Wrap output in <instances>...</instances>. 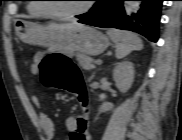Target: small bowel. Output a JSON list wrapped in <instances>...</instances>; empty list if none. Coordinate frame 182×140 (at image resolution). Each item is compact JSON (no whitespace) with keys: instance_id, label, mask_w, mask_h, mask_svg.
Segmentation results:
<instances>
[{"instance_id":"c3829d8e","label":"small bowel","mask_w":182,"mask_h":140,"mask_svg":"<svg viewBox=\"0 0 182 140\" xmlns=\"http://www.w3.org/2000/svg\"><path fill=\"white\" fill-rule=\"evenodd\" d=\"M44 57L42 53H36L33 57V62L30 65V72L32 74H36L39 71V65L43 61ZM32 102L36 107H40L41 102L37 95L32 96ZM38 121L41 126V129L44 133L45 140H52L55 133V127L52 119L49 117L48 114L44 112H40L38 115ZM65 125L70 133L76 129V118L68 117L65 120ZM87 140H90V135L87 132Z\"/></svg>"}]
</instances>
